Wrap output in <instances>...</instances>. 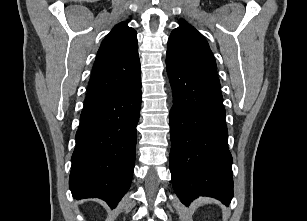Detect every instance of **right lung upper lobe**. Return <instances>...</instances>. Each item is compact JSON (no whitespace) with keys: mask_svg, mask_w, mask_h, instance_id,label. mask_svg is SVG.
<instances>
[{"mask_svg":"<svg viewBox=\"0 0 307 221\" xmlns=\"http://www.w3.org/2000/svg\"><path fill=\"white\" fill-rule=\"evenodd\" d=\"M127 23L117 24L102 42L85 102L125 90L141 79L137 32Z\"/></svg>","mask_w":307,"mask_h":221,"instance_id":"obj_1","label":"right lung upper lobe"}]
</instances>
